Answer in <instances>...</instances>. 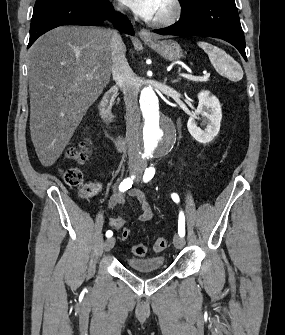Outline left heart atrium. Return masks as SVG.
<instances>
[{
    "label": "left heart atrium",
    "mask_w": 285,
    "mask_h": 335,
    "mask_svg": "<svg viewBox=\"0 0 285 335\" xmlns=\"http://www.w3.org/2000/svg\"><path fill=\"white\" fill-rule=\"evenodd\" d=\"M143 20L150 22L157 19L159 7L157 1H122Z\"/></svg>",
    "instance_id": "obj_1"
}]
</instances>
